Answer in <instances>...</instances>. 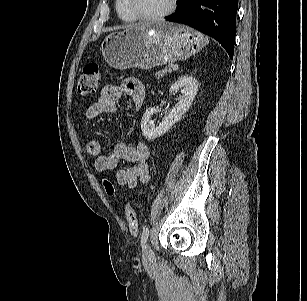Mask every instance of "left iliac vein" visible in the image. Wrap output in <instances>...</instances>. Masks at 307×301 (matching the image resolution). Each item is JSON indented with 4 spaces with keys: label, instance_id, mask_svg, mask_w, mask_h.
I'll return each instance as SVG.
<instances>
[{
    "label": "left iliac vein",
    "instance_id": "4c4485c4",
    "mask_svg": "<svg viewBox=\"0 0 307 301\" xmlns=\"http://www.w3.org/2000/svg\"><path fill=\"white\" fill-rule=\"evenodd\" d=\"M142 259L144 264H150L155 260L154 252L149 244H146L143 248Z\"/></svg>",
    "mask_w": 307,
    "mask_h": 301
}]
</instances>
